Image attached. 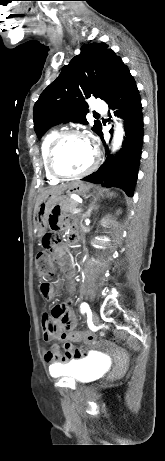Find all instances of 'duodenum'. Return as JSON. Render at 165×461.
<instances>
[{"label":"duodenum","instance_id":"duodenum-1","mask_svg":"<svg viewBox=\"0 0 165 461\" xmlns=\"http://www.w3.org/2000/svg\"><path fill=\"white\" fill-rule=\"evenodd\" d=\"M69 242L73 243L76 242L79 238L78 234L75 232L74 228L71 230L70 235H69Z\"/></svg>","mask_w":165,"mask_h":461}]
</instances>
